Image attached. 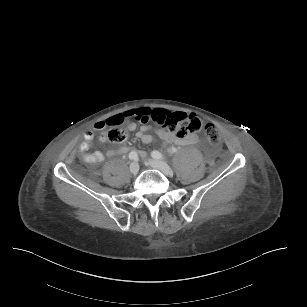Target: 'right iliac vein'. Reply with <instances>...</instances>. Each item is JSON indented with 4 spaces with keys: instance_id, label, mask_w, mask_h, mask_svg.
Segmentation results:
<instances>
[{
    "instance_id": "obj_1",
    "label": "right iliac vein",
    "mask_w": 307,
    "mask_h": 307,
    "mask_svg": "<svg viewBox=\"0 0 307 307\" xmlns=\"http://www.w3.org/2000/svg\"><path fill=\"white\" fill-rule=\"evenodd\" d=\"M130 172L134 175L139 172V164L137 162H132L130 164Z\"/></svg>"
}]
</instances>
